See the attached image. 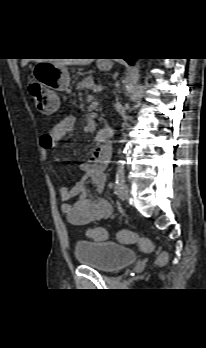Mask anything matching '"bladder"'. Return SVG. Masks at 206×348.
I'll return each mask as SVG.
<instances>
[{
	"instance_id": "bladder-1",
	"label": "bladder",
	"mask_w": 206,
	"mask_h": 348,
	"mask_svg": "<svg viewBox=\"0 0 206 348\" xmlns=\"http://www.w3.org/2000/svg\"><path fill=\"white\" fill-rule=\"evenodd\" d=\"M75 256L80 265L105 273L116 272L139 257L134 249L108 241H79L75 244Z\"/></svg>"
}]
</instances>
